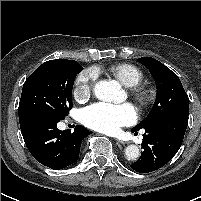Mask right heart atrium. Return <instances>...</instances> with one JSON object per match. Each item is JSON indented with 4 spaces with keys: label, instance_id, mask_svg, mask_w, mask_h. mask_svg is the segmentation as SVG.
Wrapping results in <instances>:
<instances>
[{
    "label": "right heart atrium",
    "instance_id": "obj_1",
    "mask_svg": "<svg viewBox=\"0 0 201 201\" xmlns=\"http://www.w3.org/2000/svg\"><path fill=\"white\" fill-rule=\"evenodd\" d=\"M98 72L94 68L83 70L76 78L74 96L79 101H86L92 94Z\"/></svg>",
    "mask_w": 201,
    "mask_h": 201
}]
</instances>
